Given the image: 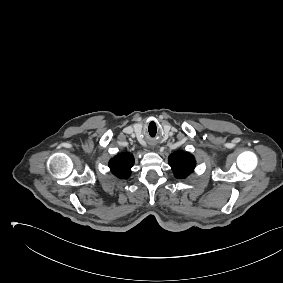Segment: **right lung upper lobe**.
<instances>
[{
	"mask_svg": "<svg viewBox=\"0 0 283 283\" xmlns=\"http://www.w3.org/2000/svg\"><path fill=\"white\" fill-rule=\"evenodd\" d=\"M134 157L130 153H120L109 161V167L114 175L126 179L131 174Z\"/></svg>",
	"mask_w": 283,
	"mask_h": 283,
	"instance_id": "right-lung-upper-lobe-1",
	"label": "right lung upper lobe"
}]
</instances>
